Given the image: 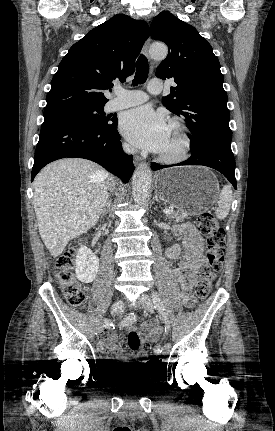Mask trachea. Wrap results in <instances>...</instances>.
I'll use <instances>...</instances> for the list:
<instances>
[{"label": "trachea", "mask_w": 275, "mask_h": 431, "mask_svg": "<svg viewBox=\"0 0 275 431\" xmlns=\"http://www.w3.org/2000/svg\"><path fill=\"white\" fill-rule=\"evenodd\" d=\"M149 65L148 60L144 55H140L136 62V74L133 80V85L143 84L148 78Z\"/></svg>", "instance_id": "trachea-1"}]
</instances>
